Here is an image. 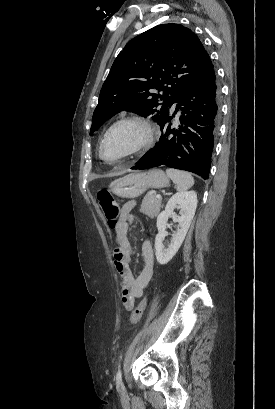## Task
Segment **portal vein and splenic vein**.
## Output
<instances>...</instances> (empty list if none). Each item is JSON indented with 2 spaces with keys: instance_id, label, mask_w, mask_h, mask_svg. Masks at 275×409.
Here are the masks:
<instances>
[{
  "instance_id": "portal-vein-and-splenic-vein-1",
  "label": "portal vein and splenic vein",
  "mask_w": 275,
  "mask_h": 409,
  "mask_svg": "<svg viewBox=\"0 0 275 409\" xmlns=\"http://www.w3.org/2000/svg\"><path fill=\"white\" fill-rule=\"evenodd\" d=\"M157 198H161L160 194H157Z\"/></svg>"
}]
</instances>
